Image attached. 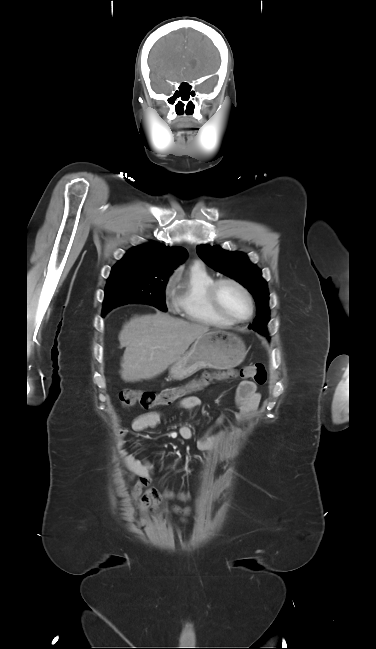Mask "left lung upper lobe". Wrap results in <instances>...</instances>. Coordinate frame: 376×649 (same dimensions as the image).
Listing matches in <instances>:
<instances>
[{
    "instance_id": "obj_1",
    "label": "left lung upper lobe",
    "mask_w": 376,
    "mask_h": 649,
    "mask_svg": "<svg viewBox=\"0 0 376 649\" xmlns=\"http://www.w3.org/2000/svg\"><path fill=\"white\" fill-rule=\"evenodd\" d=\"M196 250L210 267L240 282L254 295L257 315L249 328L267 335L269 293L267 283L261 276V270L249 261L246 254L241 252H230L219 246L207 245L197 246Z\"/></svg>"
}]
</instances>
